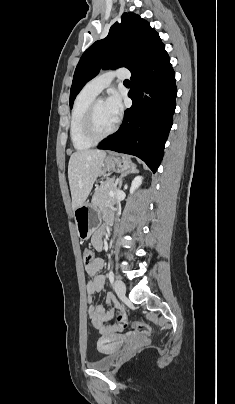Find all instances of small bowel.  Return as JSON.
Listing matches in <instances>:
<instances>
[{"label":"small bowel","instance_id":"1","mask_svg":"<svg viewBox=\"0 0 235 404\" xmlns=\"http://www.w3.org/2000/svg\"><path fill=\"white\" fill-rule=\"evenodd\" d=\"M104 229H99L91 239L93 247L97 250L102 248V237ZM104 262L100 258L94 259V261L85 266L86 272L91 276V280L87 283L86 290L88 295L89 309L88 315L95 328L99 329L105 335H112L111 330L104 326V322L114 317L115 311L118 308L113 302L112 297L108 298V304L110 309L106 310L102 305H95L92 297L96 293L103 290L105 284V277L99 272L102 270Z\"/></svg>","mask_w":235,"mask_h":404}]
</instances>
